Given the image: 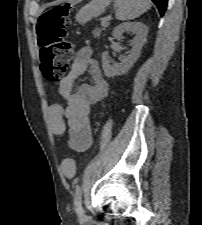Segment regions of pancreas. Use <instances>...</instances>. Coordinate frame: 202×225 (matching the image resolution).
I'll list each match as a JSON object with an SVG mask.
<instances>
[{
  "label": "pancreas",
  "mask_w": 202,
  "mask_h": 225,
  "mask_svg": "<svg viewBox=\"0 0 202 225\" xmlns=\"http://www.w3.org/2000/svg\"><path fill=\"white\" fill-rule=\"evenodd\" d=\"M102 25V24H101ZM109 25V24H108ZM108 25H102L103 28L102 29H99V28H95L94 31L92 32L93 36L94 37H99L102 30H104Z\"/></svg>",
  "instance_id": "obj_1"
}]
</instances>
